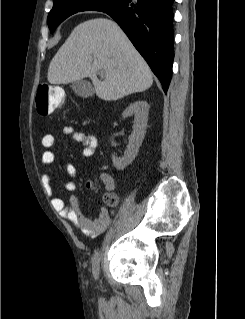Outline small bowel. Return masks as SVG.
I'll list each match as a JSON object with an SVG mask.
<instances>
[{
  "instance_id": "obj_1",
  "label": "small bowel",
  "mask_w": 245,
  "mask_h": 319,
  "mask_svg": "<svg viewBox=\"0 0 245 319\" xmlns=\"http://www.w3.org/2000/svg\"><path fill=\"white\" fill-rule=\"evenodd\" d=\"M62 133L67 136H71L74 140L81 142L84 145L83 156L91 157L97 148L98 140L94 134L75 131L72 126H65L62 129ZM42 147L44 149L41 161L44 165H51L55 160V153L52 148L55 143V133H46L42 138ZM65 171L72 179L77 177L78 171L74 164L67 163L65 165ZM105 189L111 192L115 189L114 180L105 175L103 177ZM43 183L48 195H53V188L51 186L50 177L48 175L43 176ZM64 187L71 194L68 197V204L59 197L52 198V205L56 211L59 212L61 217L70 221L80 232L89 237H96L107 229L111 223V215L106 207H102L99 215L93 217L87 214L80 206L79 201L73 193L77 189V184L74 180H67Z\"/></svg>"
}]
</instances>
